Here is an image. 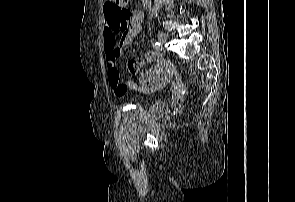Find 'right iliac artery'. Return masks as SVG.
<instances>
[{
    "instance_id": "obj_1",
    "label": "right iliac artery",
    "mask_w": 295,
    "mask_h": 202,
    "mask_svg": "<svg viewBox=\"0 0 295 202\" xmlns=\"http://www.w3.org/2000/svg\"><path fill=\"white\" fill-rule=\"evenodd\" d=\"M154 48H155L156 50H159V49H160V43H159V42H155V43H154Z\"/></svg>"
}]
</instances>
